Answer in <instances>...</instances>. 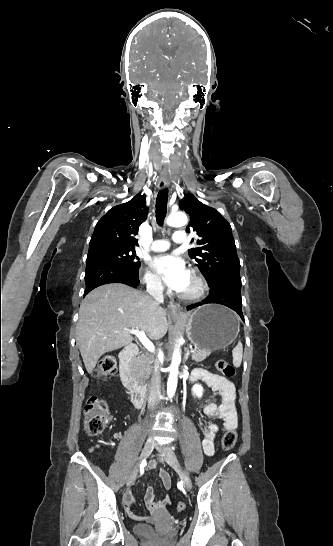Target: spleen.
<instances>
[{
	"label": "spleen",
	"instance_id": "obj_1",
	"mask_svg": "<svg viewBox=\"0 0 333 546\" xmlns=\"http://www.w3.org/2000/svg\"><path fill=\"white\" fill-rule=\"evenodd\" d=\"M238 331H239V328H238ZM242 353H243V346H242V343L241 342H238V344L236 345V347L233 349L232 351V354H233V365L235 367H239L241 365V362H242Z\"/></svg>",
	"mask_w": 333,
	"mask_h": 546
}]
</instances>
